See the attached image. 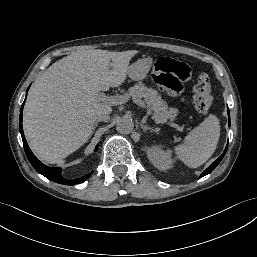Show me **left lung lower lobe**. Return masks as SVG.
<instances>
[{
    "label": "left lung lower lobe",
    "mask_w": 257,
    "mask_h": 257,
    "mask_svg": "<svg viewBox=\"0 0 257 257\" xmlns=\"http://www.w3.org/2000/svg\"><path fill=\"white\" fill-rule=\"evenodd\" d=\"M228 115H229V112H228ZM229 125H230V118H229ZM228 146V145H227ZM226 150H227V147L225 149V151L223 152V154L215 161L213 162L202 174H201V177L209 174L211 171H213L216 166L221 162V160L223 159L225 153H226Z\"/></svg>",
    "instance_id": "0a47b994"
}]
</instances>
